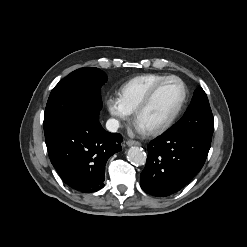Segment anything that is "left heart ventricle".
<instances>
[{
	"label": "left heart ventricle",
	"instance_id": "obj_1",
	"mask_svg": "<svg viewBox=\"0 0 247 247\" xmlns=\"http://www.w3.org/2000/svg\"><path fill=\"white\" fill-rule=\"evenodd\" d=\"M183 96V87L177 80L166 82L156 93L151 104L138 118L146 131L164 123L177 109Z\"/></svg>",
	"mask_w": 247,
	"mask_h": 247
}]
</instances>
